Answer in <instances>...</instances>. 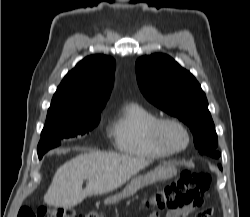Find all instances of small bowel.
Returning a JSON list of instances; mask_svg holds the SVG:
<instances>
[{
  "mask_svg": "<svg viewBox=\"0 0 250 217\" xmlns=\"http://www.w3.org/2000/svg\"><path fill=\"white\" fill-rule=\"evenodd\" d=\"M198 208L190 207L186 208L183 212L181 210L175 211L169 214L168 217H181L182 214H191L194 213ZM149 217H160V214L158 212H152ZM196 217H210L207 212L201 213L197 215Z\"/></svg>",
  "mask_w": 250,
  "mask_h": 217,
  "instance_id": "c3829d8e",
  "label": "small bowel"
}]
</instances>
